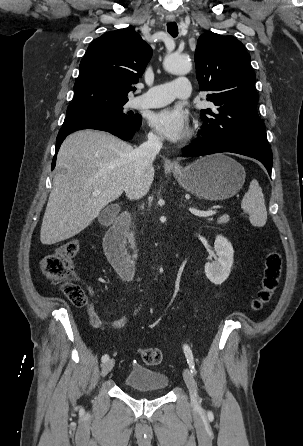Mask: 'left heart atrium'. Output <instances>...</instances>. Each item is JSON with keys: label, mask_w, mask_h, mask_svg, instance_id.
<instances>
[{"label": "left heart atrium", "mask_w": 303, "mask_h": 446, "mask_svg": "<svg viewBox=\"0 0 303 446\" xmlns=\"http://www.w3.org/2000/svg\"><path fill=\"white\" fill-rule=\"evenodd\" d=\"M150 125L163 137L177 141L189 132V116L178 106L166 107L149 116Z\"/></svg>", "instance_id": "left-heart-atrium-1"}]
</instances>
